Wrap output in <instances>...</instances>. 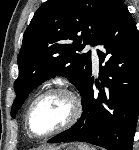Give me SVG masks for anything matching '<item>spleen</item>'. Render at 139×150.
Masks as SVG:
<instances>
[{
    "label": "spleen",
    "instance_id": "spleen-1",
    "mask_svg": "<svg viewBox=\"0 0 139 150\" xmlns=\"http://www.w3.org/2000/svg\"><path fill=\"white\" fill-rule=\"evenodd\" d=\"M91 150H95V148H91Z\"/></svg>",
    "mask_w": 139,
    "mask_h": 150
}]
</instances>
